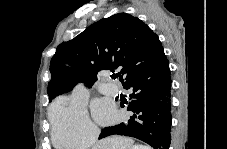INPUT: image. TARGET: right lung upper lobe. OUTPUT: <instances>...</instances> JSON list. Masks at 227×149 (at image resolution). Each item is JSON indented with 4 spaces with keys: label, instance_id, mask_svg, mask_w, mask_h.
<instances>
[{
    "label": "right lung upper lobe",
    "instance_id": "obj_1",
    "mask_svg": "<svg viewBox=\"0 0 227 149\" xmlns=\"http://www.w3.org/2000/svg\"><path fill=\"white\" fill-rule=\"evenodd\" d=\"M157 34L137 17L118 13L101 19L62 42L50 62V101L78 82L91 87L102 70L118 69L122 82L165 58Z\"/></svg>",
    "mask_w": 227,
    "mask_h": 149
}]
</instances>
